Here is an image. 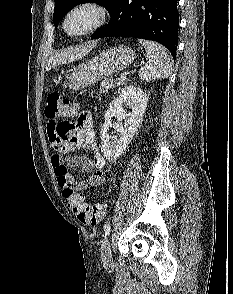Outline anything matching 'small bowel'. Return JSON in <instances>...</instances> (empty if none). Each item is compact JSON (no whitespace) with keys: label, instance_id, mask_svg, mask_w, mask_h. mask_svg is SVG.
<instances>
[{"label":"small bowel","instance_id":"c3829d8e","mask_svg":"<svg viewBox=\"0 0 233 294\" xmlns=\"http://www.w3.org/2000/svg\"><path fill=\"white\" fill-rule=\"evenodd\" d=\"M47 134L50 144L56 151L51 157V163L58 185L63 190L71 188L74 191H81L104 183L105 159L98 149L89 112L81 113L75 122L64 120V117H50ZM80 148L90 151L92 156H67ZM69 167L80 168L89 173V176L84 180H78L69 173Z\"/></svg>","mask_w":233,"mask_h":294}]
</instances>
